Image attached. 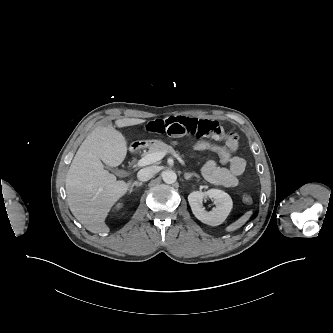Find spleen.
Returning <instances> with one entry per match:
<instances>
[{
  "label": "spleen",
  "mask_w": 333,
  "mask_h": 333,
  "mask_svg": "<svg viewBox=\"0 0 333 333\" xmlns=\"http://www.w3.org/2000/svg\"><path fill=\"white\" fill-rule=\"evenodd\" d=\"M253 211H247L246 213H244L239 219H237L235 222H233L232 224L228 225L225 230L227 232H232L235 231L239 228H241L252 216Z\"/></svg>",
  "instance_id": "spleen-1"
}]
</instances>
